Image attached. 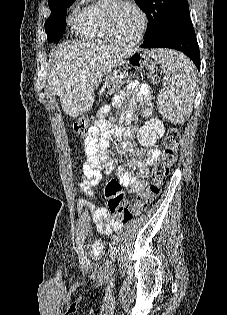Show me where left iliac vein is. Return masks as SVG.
<instances>
[{
  "label": "left iliac vein",
  "instance_id": "obj_1",
  "mask_svg": "<svg viewBox=\"0 0 227 315\" xmlns=\"http://www.w3.org/2000/svg\"><path fill=\"white\" fill-rule=\"evenodd\" d=\"M117 250V244L116 243H113L112 246H111V252L112 253H115Z\"/></svg>",
  "mask_w": 227,
  "mask_h": 315
}]
</instances>
